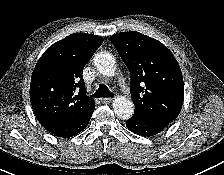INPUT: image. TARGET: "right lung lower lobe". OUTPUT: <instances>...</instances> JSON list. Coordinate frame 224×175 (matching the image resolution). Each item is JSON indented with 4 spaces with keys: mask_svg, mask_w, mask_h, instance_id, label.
<instances>
[{
    "mask_svg": "<svg viewBox=\"0 0 224 175\" xmlns=\"http://www.w3.org/2000/svg\"><path fill=\"white\" fill-rule=\"evenodd\" d=\"M94 109L87 115L81 118L74 119L59 128L51 130L50 132L58 137H63V138L72 137L78 134L79 132H81L87 127L90 121V118L94 112Z\"/></svg>",
    "mask_w": 224,
    "mask_h": 175,
    "instance_id": "1",
    "label": "right lung lower lobe"
}]
</instances>
